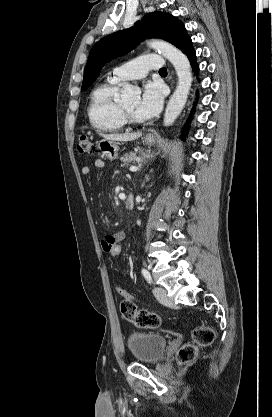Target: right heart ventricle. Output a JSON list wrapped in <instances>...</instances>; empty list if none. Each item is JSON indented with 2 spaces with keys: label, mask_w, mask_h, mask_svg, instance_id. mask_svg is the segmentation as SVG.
Returning <instances> with one entry per match:
<instances>
[{
  "label": "right heart ventricle",
  "mask_w": 272,
  "mask_h": 417,
  "mask_svg": "<svg viewBox=\"0 0 272 417\" xmlns=\"http://www.w3.org/2000/svg\"><path fill=\"white\" fill-rule=\"evenodd\" d=\"M120 82L108 78L92 92L88 107L91 125L102 132H117L125 127L121 105L117 101Z\"/></svg>",
  "instance_id": "1"
}]
</instances>
